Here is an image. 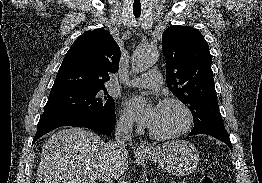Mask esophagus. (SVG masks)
Masks as SVG:
<instances>
[{
  "label": "esophagus",
  "instance_id": "esophagus-1",
  "mask_svg": "<svg viewBox=\"0 0 262 183\" xmlns=\"http://www.w3.org/2000/svg\"><path fill=\"white\" fill-rule=\"evenodd\" d=\"M138 150L139 151H148V150H150V147L146 143L141 142L138 145Z\"/></svg>",
  "mask_w": 262,
  "mask_h": 183
}]
</instances>
